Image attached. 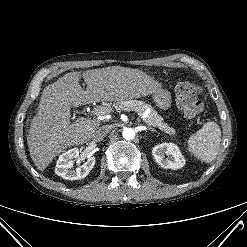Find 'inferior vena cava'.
<instances>
[{
    "label": "inferior vena cava",
    "mask_w": 247,
    "mask_h": 247,
    "mask_svg": "<svg viewBox=\"0 0 247 247\" xmlns=\"http://www.w3.org/2000/svg\"><path fill=\"white\" fill-rule=\"evenodd\" d=\"M108 133V129L105 126L99 127L95 130H93L90 134V138H92L94 141H102Z\"/></svg>",
    "instance_id": "obj_1"
}]
</instances>
